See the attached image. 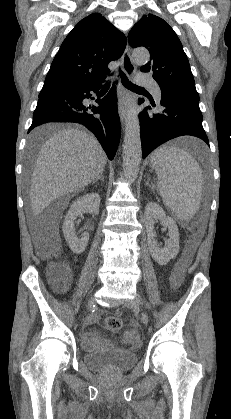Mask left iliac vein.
Wrapping results in <instances>:
<instances>
[{
    "instance_id": "1",
    "label": "left iliac vein",
    "mask_w": 231,
    "mask_h": 419,
    "mask_svg": "<svg viewBox=\"0 0 231 419\" xmlns=\"http://www.w3.org/2000/svg\"><path fill=\"white\" fill-rule=\"evenodd\" d=\"M140 303H141L140 298H139V297H135V298H133L132 300L127 301V302H126V306H127L128 308H130V309L135 310V311H139V306H140ZM140 318H141V322H142L143 324H145V325H147V324H148V322H149V317H148V315H147V313H146V312H141V314H140Z\"/></svg>"
}]
</instances>
